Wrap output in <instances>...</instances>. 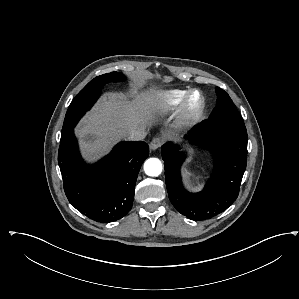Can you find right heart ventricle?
<instances>
[{"mask_svg":"<svg viewBox=\"0 0 299 299\" xmlns=\"http://www.w3.org/2000/svg\"><path fill=\"white\" fill-rule=\"evenodd\" d=\"M186 90L172 89L161 93L160 95V106L164 110H171L180 104Z\"/></svg>","mask_w":299,"mask_h":299,"instance_id":"obj_1","label":"right heart ventricle"}]
</instances>
